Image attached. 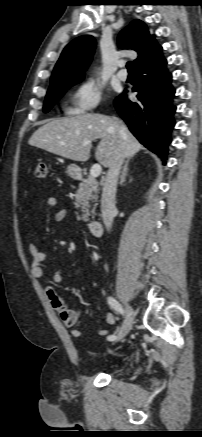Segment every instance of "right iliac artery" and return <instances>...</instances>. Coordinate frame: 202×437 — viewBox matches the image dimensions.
<instances>
[{
  "instance_id": "1",
  "label": "right iliac artery",
  "mask_w": 202,
  "mask_h": 437,
  "mask_svg": "<svg viewBox=\"0 0 202 437\" xmlns=\"http://www.w3.org/2000/svg\"><path fill=\"white\" fill-rule=\"evenodd\" d=\"M108 304L115 309L116 311H118L119 313H121L122 315H124V311L121 307V305L113 298V297H108L107 299ZM117 337L115 335H110L107 337V339L109 341H114Z\"/></svg>"
}]
</instances>
